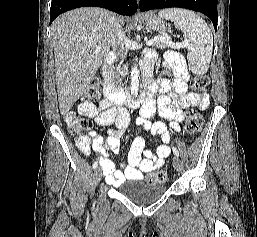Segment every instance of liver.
Here are the masks:
<instances>
[{"instance_id":"6515ba94","label":"liver","mask_w":257,"mask_h":237,"mask_svg":"<svg viewBox=\"0 0 257 237\" xmlns=\"http://www.w3.org/2000/svg\"><path fill=\"white\" fill-rule=\"evenodd\" d=\"M111 12L79 8L60 15L51 25L56 84L62 115L69 112L102 65L112 46ZM124 23L123 18H118Z\"/></svg>"}]
</instances>
